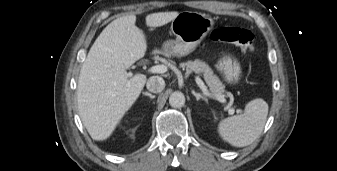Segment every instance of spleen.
<instances>
[{"mask_svg":"<svg viewBox=\"0 0 337 171\" xmlns=\"http://www.w3.org/2000/svg\"><path fill=\"white\" fill-rule=\"evenodd\" d=\"M268 104L261 98L248 102L244 113L220 121V137L234 147L252 144L262 133L268 115Z\"/></svg>","mask_w":337,"mask_h":171,"instance_id":"spleen-1","label":"spleen"}]
</instances>
